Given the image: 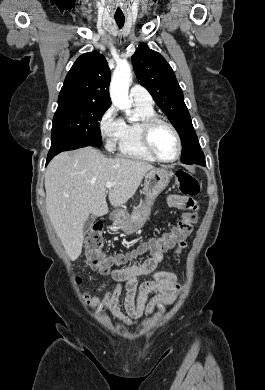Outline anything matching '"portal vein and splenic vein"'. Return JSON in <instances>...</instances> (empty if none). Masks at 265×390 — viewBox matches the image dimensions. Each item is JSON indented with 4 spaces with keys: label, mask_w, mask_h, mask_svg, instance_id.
<instances>
[{
    "label": "portal vein and splenic vein",
    "mask_w": 265,
    "mask_h": 390,
    "mask_svg": "<svg viewBox=\"0 0 265 390\" xmlns=\"http://www.w3.org/2000/svg\"><path fill=\"white\" fill-rule=\"evenodd\" d=\"M113 185H114V183L107 182L105 186H106L107 189H111L113 187Z\"/></svg>",
    "instance_id": "portal-vein-and-splenic-vein-1"
}]
</instances>
